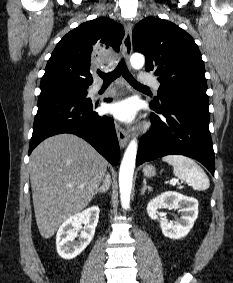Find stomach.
<instances>
[{"instance_id": "stomach-1", "label": "stomach", "mask_w": 233, "mask_h": 283, "mask_svg": "<svg viewBox=\"0 0 233 283\" xmlns=\"http://www.w3.org/2000/svg\"><path fill=\"white\" fill-rule=\"evenodd\" d=\"M143 173H144V176L146 177H152L155 175V168L154 166L152 165H146L144 168H143Z\"/></svg>"}]
</instances>
